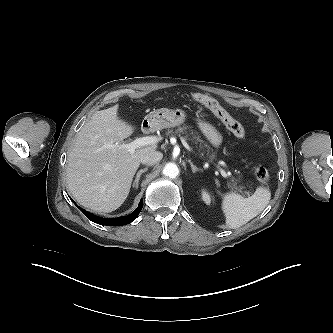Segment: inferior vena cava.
Here are the masks:
<instances>
[{
    "mask_svg": "<svg viewBox=\"0 0 333 333\" xmlns=\"http://www.w3.org/2000/svg\"><path fill=\"white\" fill-rule=\"evenodd\" d=\"M163 157V154L161 152L153 151L149 152L142 156L141 163L145 165H154L157 162H159Z\"/></svg>",
    "mask_w": 333,
    "mask_h": 333,
    "instance_id": "602c4592",
    "label": "inferior vena cava"
}]
</instances>
